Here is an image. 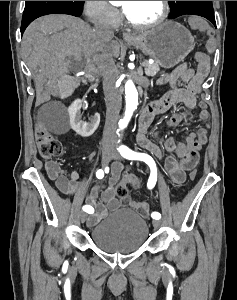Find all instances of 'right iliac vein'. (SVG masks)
I'll list each match as a JSON object with an SVG mask.
<instances>
[{
	"label": "right iliac vein",
	"instance_id": "obj_1",
	"mask_svg": "<svg viewBox=\"0 0 237 300\" xmlns=\"http://www.w3.org/2000/svg\"><path fill=\"white\" fill-rule=\"evenodd\" d=\"M114 150L111 147H104L102 151V165H108L111 155L113 154ZM87 218V214L85 212L80 213V220L83 223Z\"/></svg>",
	"mask_w": 237,
	"mask_h": 300
}]
</instances>
